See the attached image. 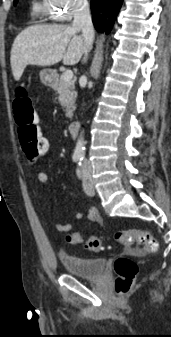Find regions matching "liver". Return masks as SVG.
Listing matches in <instances>:
<instances>
[{
	"label": "liver",
	"instance_id": "1",
	"mask_svg": "<svg viewBox=\"0 0 171 337\" xmlns=\"http://www.w3.org/2000/svg\"><path fill=\"white\" fill-rule=\"evenodd\" d=\"M80 29L69 25H36L24 29L11 49V69L20 80L27 65L50 66L63 60L64 65L79 62L84 52Z\"/></svg>",
	"mask_w": 171,
	"mask_h": 337
}]
</instances>
